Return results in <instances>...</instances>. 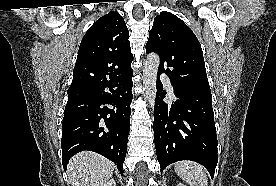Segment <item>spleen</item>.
<instances>
[{"label":"spleen","mask_w":276,"mask_h":186,"mask_svg":"<svg viewBox=\"0 0 276 186\" xmlns=\"http://www.w3.org/2000/svg\"><path fill=\"white\" fill-rule=\"evenodd\" d=\"M175 172L190 186H207L205 169L192 161H180L175 164Z\"/></svg>","instance_id":"spleen-1"}]
</instances>
